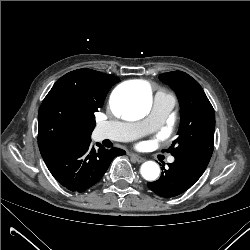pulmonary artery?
I'll use <instances>...</instances> for the list:
<instances>
[{
    "mask_svg": "<svg viewBox=\"0 0 250 250\" xmlns=\"http://www.w3.org/2000/svg\"><path fill=\"white\" fill-rule=\"evenodd\" d=\"M175 105L172 96L163 92L156 93L150 114L138 122L107 121L97 128V139L114 141H131L161 127ZM174 162V157L169 158Z\"/></svg>",
    "mask_w": 250,
    "mask_h": 250,
    "instance_id": "1",
    "label": "pulmonary artery"
}]
</instances>
